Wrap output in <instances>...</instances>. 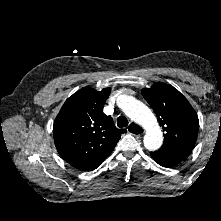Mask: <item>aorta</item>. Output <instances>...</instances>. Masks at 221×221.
<instances>
[{"label":"aorta","instance_id":"obj_1","mask_svg":"<svg viewBox=\"0 0 221 221\" xmlns=\"http://www.w3.org/2000/svg\"><path fill=\"white\" fill-rule=\"evenodd\" d=\"M123 112L146 130L144 146L149 151L158 150L163 143V134L153 112L141 101L125 96L122 104Z\"/></svg>","mask_w":221,"mask_h":221}]
</instances>
